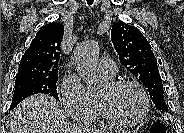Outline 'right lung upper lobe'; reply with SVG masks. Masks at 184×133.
I'll list each match as a JSON object with an SVG mask.
<instances>
[{
	"label": "right lung upper lobe",
	"mask_w": 184,
	"mask_h": 133,
	"mask_svg": "<svg viewBox=\"0 0 184 133\" xmlns=\"http://www.w3.org/2000/svg\"><path fill=\"white\" fill-rule=\"evenodd\" d=\"M64 26L52 22L40 28L25 51L16 79L26 77H56Z\"/></svg>",
	"instance_id": "1"
}]
</instances>
